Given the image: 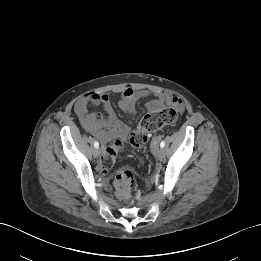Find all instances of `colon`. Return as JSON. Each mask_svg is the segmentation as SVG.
Returning a JSON list of instances; mask_svg holds the SVG:
<instances>
[{
	"mask_svg": "<svg viewBox=\"0 0 261 261\" xmlns=\"http://www.w3.org/2000/svg\"><path fill=\"white\" fill-rule=\"evenodd\" d=\"M178 112L173 108H163L147 112L141 119L138 127L129 135V143L142 148L148 139V135L165 126L176 123ZM123 143L118 140L108 146L101 157L100 167L103 171H109L114 166L116 156L122 149ZM134 185L133 173L128 169L117 172L114 186L116 194L122 199H129Z\"/></svg>",
	"mask_w": 261,
	"mask_h": 261,
	"instance_id": "obj_1",
	"label": "colon"
}]
</instances>
